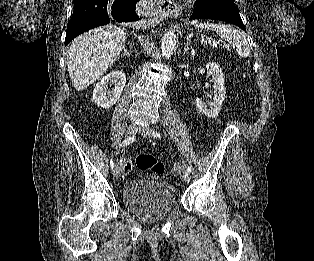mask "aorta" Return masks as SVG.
Wrapping results in <instances>:
<instances>
[{
    "label": "aorta",
    "instance_id": "obj_1",
    "mask_svg": "<svg viewBox=\"0 0 314 261\" xmlns=\"http://www.w3.org/2000/svg\"><path fill=\"white\" fill-rule=\"evenodd\" d=\"M176 43V34L174 31L169 30L167 31L161 40V53L162 56L165 58H170L173 54V50L175 48Z\"/></svg>",
    "mask_w": 314,
    "mask_h": 261
}]
</instances>
